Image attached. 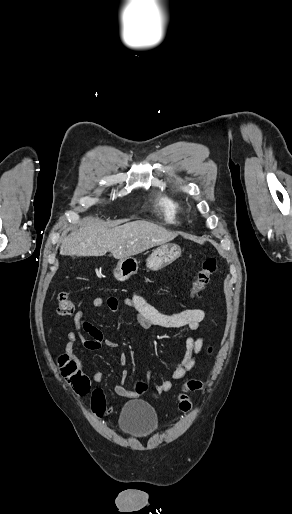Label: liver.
Wrapping results in <instances>:
<instances>
[{
	"label": "liver",
	"instance_id": "6515ba94",
	"mask_svg": "<svg viewBox=\"0 0 292 514\" xmlns=\"http://www.w3.org/2000/svg\"><path fill=\"white\" fill-rule=\"evenodd\" d=\"M179 232H168L162 226L137 220L117 228L99 218H84L82 228L64 238L61 256H105L107 252L116 260L130 258L145 250L171 242Z\"/></svg>",
	"mask_w": 292,
	"mask_h": 514
}]
</instances>
